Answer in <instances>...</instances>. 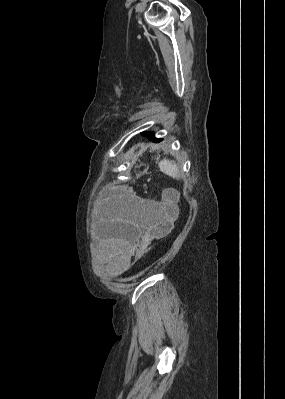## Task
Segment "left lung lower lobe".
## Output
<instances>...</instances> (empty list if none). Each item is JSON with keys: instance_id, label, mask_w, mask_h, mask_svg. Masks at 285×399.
Instances as JSON below:
<instances>
[{"instance_id": "0a47b994", "label": "left lung lower lobe", "mask_w": 285, "mask_h": 399, "mask_svg": "<svg viewBox=\"0 0 285 399\" xmlns=\"http://www.w3.org/2000/svg\"><path fill=\"white\" fill-rule=\"evenodd\" d=\"M143 136H146L149 140H152L153 142H159L160 140L155 138L153 134H142Z\"/></svg>"}]
</instances>
